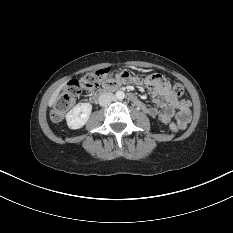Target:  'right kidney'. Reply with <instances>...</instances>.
<instances>
[{
    "label": "right kidney",
    "instance_id": "obj_1",
    "mask_svg": "<svg viewBox=\"0 0 233 233\" xmlns=\"http://www.w3.org/2000/svg\"><path fill=\"white\" fill-rule=\"evenodd\" d=\"M92 111L90 103H79L66 114L67 125L71 129H80L88 121Z\"/></svg>",
    "mask_w": 233,
    "mask_h": 233
}]
</instances>
